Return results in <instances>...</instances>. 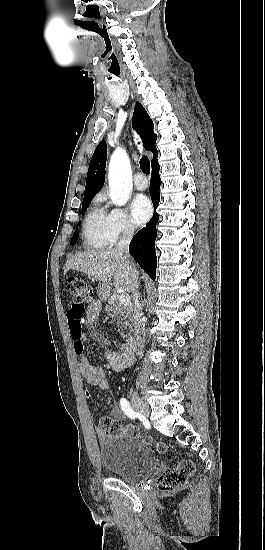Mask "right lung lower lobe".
I'll return each instance as SVG.
<instances>
[{
  "label": "right lung lower lobe",
  "instance_id": "1",
  "mask_svg": "<svg viewBox=\"0 0 265 550\" xmlns=\"http://www.w3.org/2000/svg\"><path fill=\"white\" fill-rule=\"evenodd\" d=\"M159 168L158 161L152 165L150 195L154 209L160 201L159 189L161 179L159 176ZM157 221L158 214L155 212L152 219L146 224V226L134 235L129 245V253L153 280L156 277V254L154 244L157 235Z\"/></svg>",
  "mask_w": 265,
  "mask_h": 550
}]
</instances>
